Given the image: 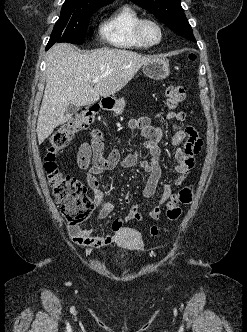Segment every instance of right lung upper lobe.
<instances>
[{
    "label": "right lung upper lobe",
    "instance_id": "1",
    "mask_svg": "<svg viewBox=\"0 0 247 332\" xmlns=\"http://www.w3.org/2000/svg\"><path fill=\"white\" fill-rule=\"evenodd\" d=\"M114 0H66L65 2H74L80 4H109L112 3Z\"/></svg>",
    "mask_w": 247,
    "mask_h": 332
}]
</instances>
